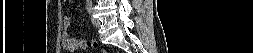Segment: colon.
<instances>
[{
  "label": "colon",
  "instance_id": "colon-1",
  "mask_svg": "<svg viewBox=\"0 0 253 53\" xmlns=\"http://www.w3.org/2000/svg\"><path fill=\"white\" fill-rule=\"evenodd\" d=\"M98 46H99V43L96 40H78L79 48L96 49Z\"/></svg>",
  "mask_w": 253,
  "mask_h": 53
}]
</instances>
